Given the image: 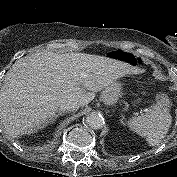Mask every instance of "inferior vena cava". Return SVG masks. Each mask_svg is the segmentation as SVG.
<instances>
[{
	"mask_svg": "<svg viewBox=\"0 0 177 177\" xmlns=\"http://www.w3.org/2000/svg\"><path fill=\"white\" fill-rule=\"evenodd\" d=\"M80 107L77 102H66L60 105L61 112L76 111Z\"/></svg>",
	"mask_w": 177,
	"mask_h": 177,
	"instance_id": "obj_1",
	"label": "inferior vena cava"
}]
</instances>
